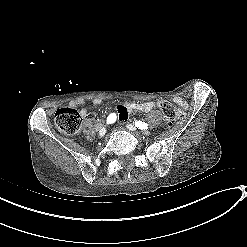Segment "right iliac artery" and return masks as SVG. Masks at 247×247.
Masks as SVG:
<instances>
[{"instance_id": "1", "label": "right iliac artery", "mask_w": 247, "mask_h": 247, "mask_svg": "<svg viewBox=\"0 0 247 247\" xmlns=\"http://www.w3.org/2000/svg\"><path fill=\"white\" fill-rule=\"evenodd\" d=\"M116 121V114L112 113L107 117V124H112Z\"/></svg>"}]
</instances>
